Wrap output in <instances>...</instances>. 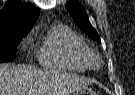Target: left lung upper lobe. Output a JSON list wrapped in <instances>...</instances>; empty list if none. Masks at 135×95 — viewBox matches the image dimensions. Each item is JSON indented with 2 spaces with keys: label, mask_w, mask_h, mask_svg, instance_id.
Segmentation results:
<instances>
[{
  "label": "left lung upper lobe",
  "mask_w": 135,
  "mask_h": 95,
  "mask_svg": "<svg viewBox=\"0 0 135 95\" xmlns=\"http://www.w3.org/2000/svg\"><path fill=\"white\" fill-rule=\"evenodd\" d=\"M66 8L69 10L72 15L75 23L89 36H91L94 40L101 43L100 37L96 30L92 27L88 20V15L84 9V7L78 2H69L66 4Z\"/></svg>",
  "instance_id": "5c2ea615"
}]
</instances>
